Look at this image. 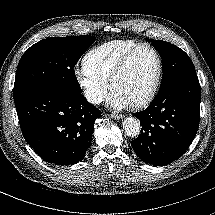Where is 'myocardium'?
I'll use <instances>...</instances> for the list:
<instances>
[{
  "mask_svg": "<svg viewBox=\"0 0 215 215\" xmlns=\"http://www.w3.org/2000/svg\"><path fill=\"white\" fill-rule=\"evenodd\" d=\"M142 47H147L153 51V53L156 57V60H157V70H156L154 79H153L147 93L144 95V97L137 102L128 104L129 107L133 110H139V109H142V108L148 106L152 102V100L154 99V97L157 93L158 87L160 85L161 77H162V72H163V61H162V57H161L159 51L157 50V48L147 42H141V43L135 44L129 50H127L126 53L119 59L117 65L109 79V89H110V92H112L113 86H114L116 80L125 71L131 57L138 49H140Z\"/></svg>",
  "mask_w": 215,
  "mask_h": 215,
  "instance_id": "f54148a6",
  "label": "myocardium"
}]
</instances>
